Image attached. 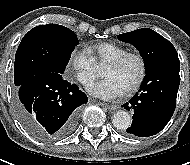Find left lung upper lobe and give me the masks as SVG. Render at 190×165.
Wrapping results in <instances>:
<instances>
[{
    "label": "left lung upper lobe",
    "instance_id": "obj_1",
    "mask_svg": "<svg viewBox=\"0 0 190 165\" xmlns=\"http://www.w3.org/2000/svg\"><path fill=\"white\" fill-rule=\"evenodd\" d=\"M118 38L137 48L144 60L146 73L161 64L179 61L171 42L149 28L123 33L118 35Z\"/></svg>",
    "mask_w": 190,
    "mask_h": 165
}]
</instances>
